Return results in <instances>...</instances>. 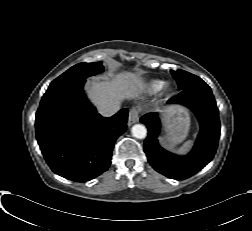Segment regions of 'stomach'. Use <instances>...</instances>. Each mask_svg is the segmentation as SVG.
<instances>
[{"label":"stomach","instance_id":"obj_1","mask_svg":"<svg viewBox=\"0 0 252 231\" xmlns=\"http://www.w3.org/2000/svg\"><path fill=\"white\" fill-rule=\"evenodd\" d=\"M164 125L167 132L165 143L168 147H174L182 142L188 134L189 114L181 108H170L164 116Z\"/></svg>","mask_w":252,"mask_h":231}]
</instances>
